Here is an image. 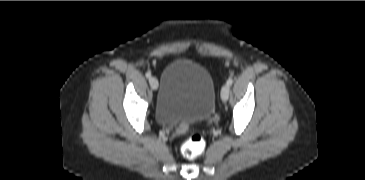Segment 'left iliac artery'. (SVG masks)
<instances>
[{
    "label": "left iliac artery",
    "instance_id": "44dca946",
    "mask_svg": "<svg viewBox=\"0 0 365 180\" xmlns=\"http://www.w3.org/2000/svg\"><path fill=\"white\" fill-rule=\"evenodd\" d=\"M232 83H233V78H229V79H228V81H227V84H228L229 86H231V85H232Z\"/></svg>",
    "mask_w": 365,
    "mask_h": 180
}]
</instances>
